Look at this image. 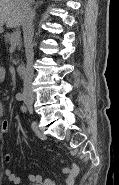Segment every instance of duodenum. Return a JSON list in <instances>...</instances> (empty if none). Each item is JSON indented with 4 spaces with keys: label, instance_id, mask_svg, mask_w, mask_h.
I'll return each mask as SVG.
<instances>
[{
    "label": "duodenum",
    "instance_id": "410a0bca",
    "mask_svg": "<svg viewBox=\"0 0 119 185\" xmlns=\"http://www.w3.org/2000/svg\"><path fill=\"white\" fill-rule=\"evenodd\" d=\"M17 72H18V75L21 77V78H25L26 75H27V67L23 64L19 65L17 67Z\"/></svg>",
    "mask_w": 119,
    "mask_h": 185
}]
</instances>
